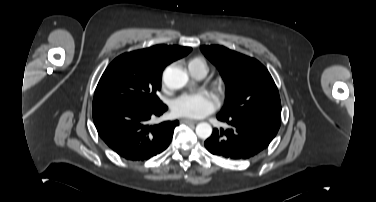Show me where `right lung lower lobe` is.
Here are the masks:
<instances>
[{
  "mask_svg": "<svg viewBox=\"0 0 376 202\" xmlns=\"http://www.w3.org/2000/svg\"><path fill=\"white\" fill-rule=\"evenodd\" d=\"M166 110L161 101L154 105L113 102L93 108L92 114L99 136L112 150L127 160L144 161L169 146L179 124L176 120L149 125L151 117Z\"/></svg>",
  "mask_w": 376,
  "mask_h": 202,
  "instance_id": "right-lung-lower-lobe-1",
  "label": "right lung lower lobe"
}]
</instances>
